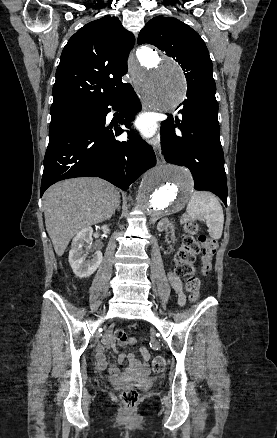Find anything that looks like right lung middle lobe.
<instances>
[{
  "mask_svg": "<svg viewBox=\"0 0 277 438\" xmlns=\"http://www.w3.org/2000/svg\"><path fill=\"white\" fill-rule=\"evenodd\" d=\"M93 112L91 108L51 112L49 136Z\"/></svg>",
  "mask_w": 277,
  "mask_h": 438,
  "instance_id": "1",
  "label": "right lung middle lobe"
}]
</instances>
